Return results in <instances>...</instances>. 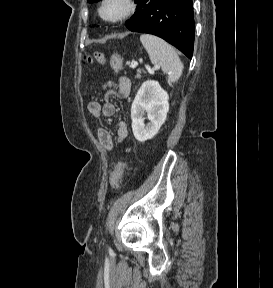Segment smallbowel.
<instances>
[{
	"instance_id": "c3829d8e",
	"label": "small bowel",
	"mask_w": 273,
	"mask_h": 288,
	"mask_svg": "<svg viewBox=\"0 0 273 288\" xmlns=\"http://www.w3.org/2000/svg\"><path fill=\"white\" fill-rule=\"evenodd\" d=\"M130 81L126 77H120L117 81H109L103 85L105 90V98L102 102L91 101L88 104V112L94 118L101 116L111 117L116 112L115 104L112 101L113 97L126 98L130 93ZM128 136V127L125 121H121L117 128V141L124 142ZM99 143L107 150H111L114 146L111 133L106 128H99L97 132Z\"/></svg>"
}]
</instances>
